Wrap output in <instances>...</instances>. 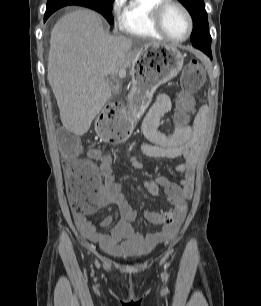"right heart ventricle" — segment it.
<instances>
[{
	"label": "right heart ventricle",
	"mask_w": 261,
	"mask_h": 306,
	"mask_svg": "<svg viewBox=\"0 0 261 306\" xmlns=\"http://www.w3.org/2000/svg\"><path fill=\"white\" fill-rule=\"evenodd\" d=\"M162 0H125L122 2L120 30L145 39H163L152 22V12Z\"/></svg>",
	"instance_id": "e07e8e85"
}]
</instances>
